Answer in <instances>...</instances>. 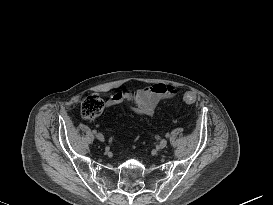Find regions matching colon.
<instances>
[{"label": "colon", "instance_id": "obj_1", "mask_svg": "<svg viewBox=\"0 0 273 205\" xmlns=\"http://www.w3.org/2000/svg\"><path fill=\"white\" fill-rule=\"evenodd\" d=\"M187 104H193L196 97L193 93H185L182 97ZM103 101L97 94H90L85 96L81 102V114L86 119L97 118L103 110Z\"/></svg>", "mask_w": 273, "mask_h": 205}]
</instances>
